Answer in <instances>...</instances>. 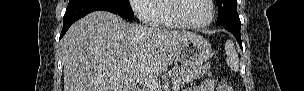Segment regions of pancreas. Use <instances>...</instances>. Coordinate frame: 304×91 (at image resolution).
Here are the masks:
<instances>
[{
    "instance_id": "pancreas-1",
    "label": "pancreas",
    "mask_w": 304,
    "mask_h": 91,
    "mask_svg": "<svg viewBox=\"0 0 304 91\" xmlns=\"http://www.w3.org/2000/svg\"><path fill=\"white\" fill-rule=\"evenodd\" d=\"M206 74L211 76L208 66L199 68L175 66L168 72L167 76L171 78L174 84L183 87L186 83L192 82L194 79L203 78Z\"/></svg>"
}]
</instances>
